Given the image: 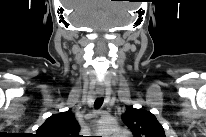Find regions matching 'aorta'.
Instances as JSON below:
<instances>
[{"mask_svg":"<svg viewBox=\"0 0 206 137\" xmlns=\"http://www.w3.org/2000/svg\"><path fill=\"white\" fill-rule=\"evenodd\" d=\"M110 132H111V133H117V132H118L117 127L114 125V126L110 129Z\"/></svg>","mask_w":206,"mask_h":137,"instance_id":"762f6f07","label":"aorta"}]
</instances>
